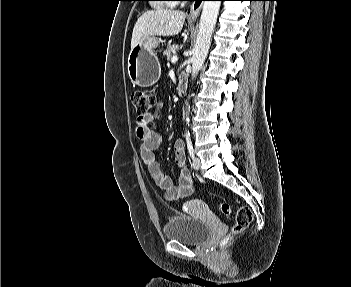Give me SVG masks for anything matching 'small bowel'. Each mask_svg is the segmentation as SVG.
<instances>
[{"mask_svg":"<svg viewBox=\"0 0 351 287\" xmlns=\"http://www.w3.org/2000/svg\"><path fill=\"white\" fill-rule=\"evenodd\" d=\"M161 106L162 103L158 102L156 110H159ZM154 118L155 113H149L145 118L136 119V136L140 140L141 159L154 183L164 192L166 200L184 199L194 190L185 156V144L182 140H176L174 143L175 162L180 169L178 184L174 185L172 179L162 171L155 154L161 143V136L149 126Z\"/></svg>","mask_w":351,"mask_h":287,"instance_id":"c3829d8e","label":"small bowel"}]
</instances>
